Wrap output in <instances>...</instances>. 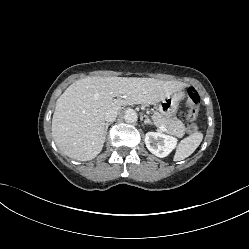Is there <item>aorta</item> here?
<instances>
[{"label":"aorta","instance_id":"obj_1","mask_svg":"<svg viewBox=\"0 0 249 249\" xmlns=\"http://www.w3.org/2000/svg\"><path fill=\"white\" fill-rule=\"evenodd\" d=\"M124 119L127 123H134L138 119V115L135 110L133 109H128L125 112Z\"/></svg>","mask_w":249,"mask_h":249}]
</instances>
